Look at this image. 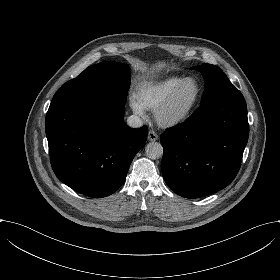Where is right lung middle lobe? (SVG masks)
Returning <instances> with one entry per match:
<instances>
[{
  "instance_id": "right-lung-middle-lobe-1",
  "label": "right lung middle lobe",
  "mask_w": 280,
  "mask_h": 280,
  "mask_svg": "<svg viewBox=\"0 0 280 280\" xmlns=\"http://www.w3.org/2000/svg\"><path fill=\"white\" fill-rule=\"evenodd\" d=\"M130 68L127 64L105 61L86 68L78 77L66 82L62 89L88 91L124 105L130 87Z\"/></svg>"
}]
</instances>
